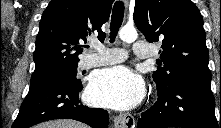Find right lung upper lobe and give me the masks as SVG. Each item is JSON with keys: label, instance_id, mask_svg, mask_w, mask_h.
<instances>
[{"label": "right lung upper lobe", "instance_id": "obj_1", "mask_svg": "<svg viewBox=\"0 0 221 128\" xmlns=\"http://www.w3.org/2000/svg\"><path fill=\"white\" fill-rule=\"evenodd\" d=\"M114 0H52L43 12L34 51L32 76L77 65L83 43L91 35L104 41L101 30Z\"/></svg>", "mask_w": 221, "mask_h": 128}]
</instances>
